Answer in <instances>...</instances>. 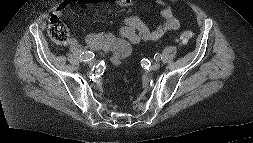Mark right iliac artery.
I'll return each instance as SVG.
<instances>
[{"mask_svg":"<svg viewBox=\"0 0 253 143\" xmlns=\"http://www.w3.org/2000/svg\"><path fill=\"white\" fill-rule=\"evenodd\" d=\"M80 57L82 61L87 62L89 60H92L95 57V54L91 51H85V52H82Z\"/></svg>","mask_w":253,"mask_h":143,"instance_id":"1","label":"right iliac artery"}]
</instances>
